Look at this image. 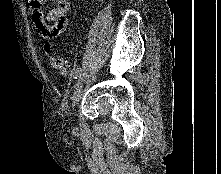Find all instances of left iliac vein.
I'll list each match as a JSON object with an SVG mask.
<instances>
[{
    "label": "left iliac vein",
    "instance_id": "left-iliac-vein-1",
    "mask_svg": "<svg viewBox=\"0 0 221 174\" xmlns=\"http://www.w3.org/2000/svg\"><path fill=\"white\" fill-rule=\"evenodd\" d=\"M86 79H87L86 74L80 75L79 79L77 80V82L75 84L74 93H73V103H72L73 110L80 100L82 88H83V85H84Z\"/></svg>",
    "mask_w": 221,
    "mask_h": 174
}]
</instances>
